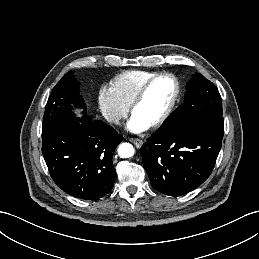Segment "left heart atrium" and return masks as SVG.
Instances as JSON below:
<instances>
[{
  "mask_svg": "<svg viewBox=\"0 0 259 259\" xmlns=\"http://www.w3.org/2000/svg\"><path fill=\"white\" fill-rule=\"evenodd\" d=\"M150 125L143 120H141L138 116L134 115L131 117L127 124V129L133 133H140L146 131Z\"/></svg>",
  "mask_w": 259,
  "mask_h": 259,
  "instance_id": "39dd6f15",
  "label": "left heart atrium"
}]
</instances>
